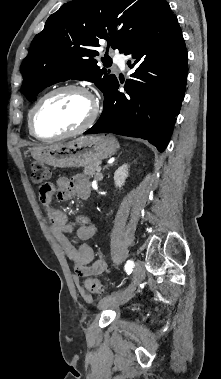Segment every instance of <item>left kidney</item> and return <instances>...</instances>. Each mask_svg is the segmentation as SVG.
<instances>
[{
    "label": "left kidney",
    "mask_w": 221,
    "mask_h": 379,
    "mask_svg": "<svg viewBox=\"0 0 221 379\" xmlns=\"http://www.w3.org/2000/svg\"><path fill=\"white\" fill-rule=\"evenodd\" d=\"M128 164H123L114 173V182L117 188H121L128 177Z\"/></svg>",
    "instance_id": "left-kidney-1"
}]
</instances>
